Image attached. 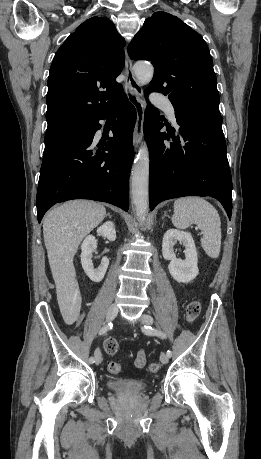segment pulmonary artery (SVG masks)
Returning <instances> with one entry per match:
<instances>
[{
  "label": "pulmonary artery",
  "instance_id": "1",
  "mask_svg": "<svg viewBox=\"0 0 261 459\" xmlns=\"http://www.w3.org/2000/svg\"><path fill=\"white\" fill-rule=\"evenodd\" d=\"M153 100H154V103L156 105H158L161 108H163V110L167 114L169 120L171 122L175 123L176 122L175 110H174V107L172 106L171 102L168 99L162 98V97H154Z\"/></svg>",
  "mask_w": 261,
  "mask_h": 459
}]
</instances>
